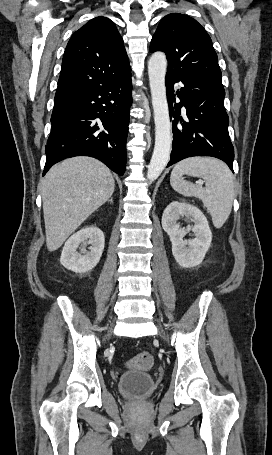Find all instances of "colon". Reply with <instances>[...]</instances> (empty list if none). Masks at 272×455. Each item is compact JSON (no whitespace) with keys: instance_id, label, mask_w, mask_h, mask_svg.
Instances as JSON below:
<instances>
[{"instance_id":"obj_1","label":"colon","mask_w":272,"mask_h":455,"mask_svg":"<svg viewBox=\"0 0 272 455\" xmlns=\"http://www.w3.org/2000/svg\"><path fill=\"white\" fill-rule=\"evenodd\" d=\"M153 356L143 351L128 361L127 366L132 369L149 370L153 366Z\"/></svg>"}]
</instances>
